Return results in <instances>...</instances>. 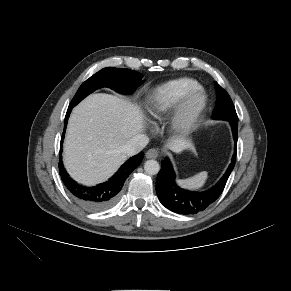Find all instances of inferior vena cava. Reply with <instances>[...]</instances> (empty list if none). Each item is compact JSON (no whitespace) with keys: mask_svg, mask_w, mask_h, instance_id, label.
<instances>
[{"mask_svg":"<svg viewBox=\"0 0 291 291\" xmlns=\"http://www.w3.org/2000/svg\"><path fill=\"white\" fill-rule=\"evenodd\" d=\"M148 143L149 138L146 135L138 134L122 146V151L128 156H132L139 153Z\"/></svg>","mask_w":291,"mask_h":291,"instance_id":"obj_1","label":"inferior vena cava"}]
</instances>
